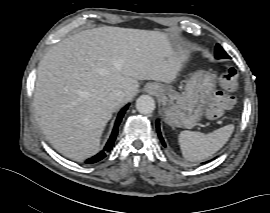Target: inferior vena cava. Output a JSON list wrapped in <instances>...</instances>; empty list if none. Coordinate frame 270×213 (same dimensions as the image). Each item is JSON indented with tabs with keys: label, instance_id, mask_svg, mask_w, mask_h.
Here are the masks:
<instances>
[{
	"label": "inferior vena cava",
	"instance_id": "obj_1",
	"mask_svg": "<svg viewBox=\"0 0 270 213\" xmlns=\"http://www.w3.org/2000/svg\"><path fill=\"white\" fill-rule=\"evenodd\" d=\"M125 92L120 89H115L110 93V100L113 102L123 103L125 101Z\"/></svg>",
	"mask_w": 270,
	"mask_h": 213
}]
</instances>
